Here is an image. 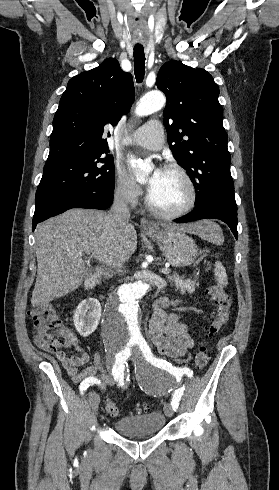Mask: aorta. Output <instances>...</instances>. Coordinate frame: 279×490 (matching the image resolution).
<instances>
[{"label":"aorta","instance_id":"aorta-1","mask_svg":"<svg viewBox=\"0 0 279 490\" xmlns=\"http://www.w3.org/2000/svg\"><path fill=\"white\" fill-rule=\"evenodd\" d=\"M165 103L166 98L161 92H150L140 99L135 113L138 116H147L160 110ZM129 161L133 168H138L143 173L152 169L147 161L136 160L132 156ZM143 179L144 174L137 176L138 181ZM149 288V284L136 281L122 285L109 297L102 324L103 337L108 347L129 349L144 342L139 300Z\"/></svg>","mask_w":279,"mask_h":490}]
</instances>
